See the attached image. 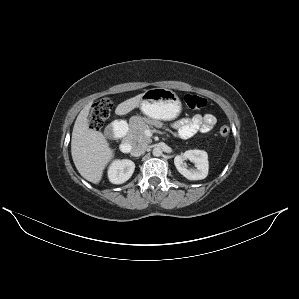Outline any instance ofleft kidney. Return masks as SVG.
Returning a JSON list of instances; mask_svg holds the SVG:
<instances>
[{
	"label": "left kidney",
	"instance_id": "obj_1",
	"mask_svg": "<svg viewBox=\"0 0 299 299\" xmlns=\"http://www.w3.org/2000/svg\"><path fill=\"white\" fill-rule=\"evenodd\" d=\"M189 159L196 169H187L184 160ZM174 164L180 174L189 180H202L207 177L209 162L208 154L202 150H188L174 158Z\"/></svg>",
	"mask_w": 299,
	"mask_h": 299
}]
</instances>
